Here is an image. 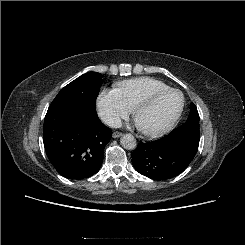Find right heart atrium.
<instances>
[{
  "mask_svg": "<svg viewBox=\"0 0 245 245\" xmlns=\"http://www.w3.org/2000/svg\"><path fill=\"white\" fill-rule=\"evenodd\" d=\"M96 105L101 119L112 127L117 126L131 113V108L115 89H102L97 97Z\"/></svg>",
  "mask_w": 245,
  "mask_h": 245,
  "instance_id": "1",
  "label": "right heart atrium"
}]
</instances>
